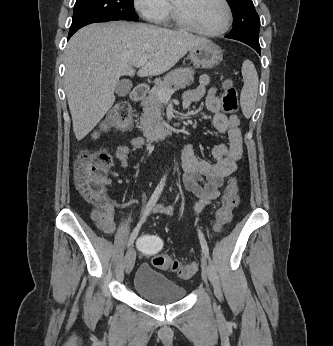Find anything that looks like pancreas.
Returning a JSON list of instances; mask_svg holds the SVG:
<instances>
[{
	"label": "pancreas",
	"instance_id": "cf45deb5",
	"mask_svg": "<svg viewBox=\"0 0 333 346\" xmlns=\"http://www.w3.org/2000/svg\"><path fill=\"white\" fill-rule=\"evenodd\" d=\"M194 71L190 68H178L166 74L162 80H158L149 92L148 97L142 101L143 113L140 118L141 129L144 133H157L162 131L166 122L163 121L161 106L162 100L158 97V92L170 89H183L193 83Z\"/></svg>",
	"mask_w": 333,
	"mask_h": 346
}]
</instances>
